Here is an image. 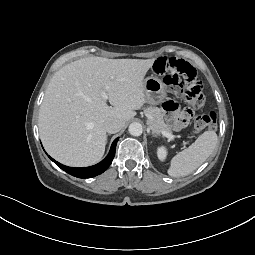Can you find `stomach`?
Segmentation results:
<instances>
[{
    "instance_id": "0dacf381",
    "label": "stomach",
    "mask_w": 255,
    "mask_h": 255,
    "mask_svg": "<svg viewBox=\"0 0 255 255\" xmlns=\"http://www.w3.org/2000/svg\"><path fill=\"white\" fill-rule=\"evenodd\" d=\"M144 95L151 105L163 103L167 96L164 83L156 77H147L144 79Z\"/></svg>"
}]
</instances>
